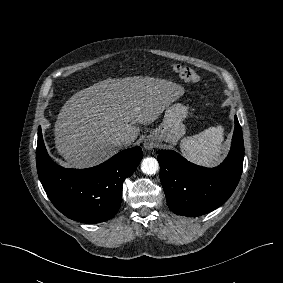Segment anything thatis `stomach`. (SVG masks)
Listing matches in <instances>:
<instances>
[{"label":"stomach","mask_w":283,"mask_h":283,"mask_svg":"<svg viewBox=\"0 0 283 283\" xmlns=\"http://www.w3.org/2000/svg\"><path fill=\"white\" fill-rule=\"evenodd\" d=\"M188 116L187 106L175 103L168 106L164 111L161 124L148 136L147 140H154L157 143L166 142L174 145L185 135L186 128L183 121Z\"/></svg>","instance_id":"obj_1"}]
</instances>
